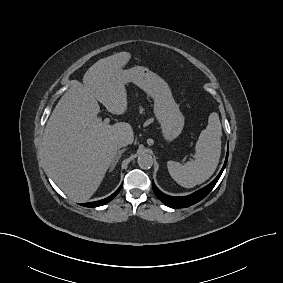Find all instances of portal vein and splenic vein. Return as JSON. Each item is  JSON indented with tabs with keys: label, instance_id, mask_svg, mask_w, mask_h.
Instances as JSON below:
<instances>
[{
	"label": "portal vein and splenic vein",
	"instance_id": "18ae733b",
	"mask_svg": "<svg viewBox=\"0 0 283 283\" xmlns=\"http://www.w3.org/2000/svg\"><path fill=\"white\" fill-rule=\"evenodd\" d=\"M100 120H101V119H98V121H100ZM109 122H110V119H109V118H105V119H104V123H105V124H109Z\"/></svg>",
	"mask_w": 283,
	"mask_h": 283
}]
</instances>
